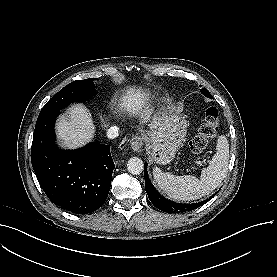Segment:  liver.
I'll return each instance as SVG.
<instances>
[{"label":"liver","instance_id":"6515ba94","mask_svg":"<svg viewBox=\"0 0 277 277\" xmlns=\"http://www.w3.org/2000/svg\"><path fill=\"white\" fill-rule=\"evenodd\" d=\"M145 94L141 90H130L122 97L120 108L137 114L145 102ZM57 136L60 145L67 148H77L91 141L95 127L88 109L77 104L69 108L66 114L59 117L56 123Z\"/></svg>","mask_w":277,"mask_h":277}]
</instances>
